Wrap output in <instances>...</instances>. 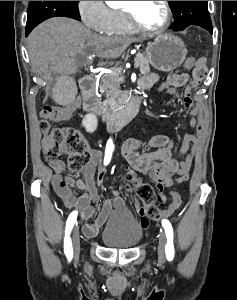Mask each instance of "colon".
<instances>
[{
	"mask_svg": "<svg viewBox=\"0 0 237 300\" xmlns=\"http://www.w3.org/2000/svg\"><path fill=\"white\" fill-rule=\"evenodd\" d=\"M200 59L188 58L184 66L187 69L194 67ZM52 113V107L47 106L41 112V121L39 124L40 131L43 135L42 152L45 159L53 161L62 153H69L68 170L77 172L82 170L91 162V151L87 140L83 135L73 127H54L50 124L49 119ZM128 178L131 180L136 196L144 205L145 214L150 219L160 217L161 211L156 205V195L152 186L143 182L139 177L129 173ZM189 179L187 173L178 175L177 182H185ZM173 201L180 200L177 193H171ZM159 201L164 203L165 198L159 197Z\"/></svg>",
	"mask_w": 237,
	"mask_h": 300,
	"instance_id": "5ec220e1",
	"label": "colon"
}]
</instances>
